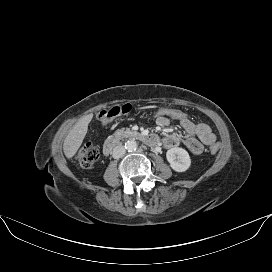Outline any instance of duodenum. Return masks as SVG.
<instances>
[{
  "label": "duodenum",
  "mask_w": 272,
  "mask_h": 272,
  "mask_svg": "<svg viewBox=\"0 0 272 272\" xmlns=\"http://www.w3.org/2000/svg\"><path fill=\"white\" fill-rule=\"evenodd\" d=\"M125 136L143 141L152 146L157 145L159 142L157 136L154 134H147L143 132H128V133L121 132V133H117L115 135L110 136L105 141L103 146V153L107 156L110 155L113 149L120 143L122 138H124Z\"/></svg>",
  "instance_id": "obj_1"
}]
</instances>
